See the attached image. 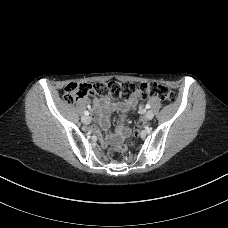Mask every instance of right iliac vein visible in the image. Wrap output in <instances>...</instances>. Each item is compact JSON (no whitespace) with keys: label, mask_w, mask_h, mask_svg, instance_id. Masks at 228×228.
Segmentation results:
<instances>
[{"label":"right iliac vein","mask_w":228,"mask_h":228,"mask_svg":"<svg viewBox=\"0 0 228 228\" xmlns=\"http://www.w3.org/2000/svg\"><path fill=\"white\" fill-rule=\"evenodd\" d=\"M81 121L84 123V124H89L91 122V118L88 117V116H82L81 117Z\"/></svg>","instance_id":"obj_1"}]
</instances>
